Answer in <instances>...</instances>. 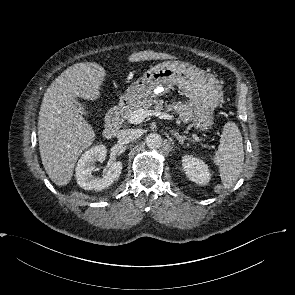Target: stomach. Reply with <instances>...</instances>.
Masks as SVG:
<instances>
[{
	"label": "stomach",
	"mask_w": 295,
	"mask_h": 295,
	"mask_svg": "<svg viewBox=\"0 0 295 295\" xmlns=\"http://www.w3.org/2000/svg\"><path fill=\"white\" fill-rule=\"evenodd\" d=\"M177 85L193 106V125L208 130L213 112L223 99L222 86L212 75L189 63L165 61L150 67L120 97L121 104L132 105L142 99L166 94Z\"/></svg>",
	"instance_id": "1"
}]
</instances>
